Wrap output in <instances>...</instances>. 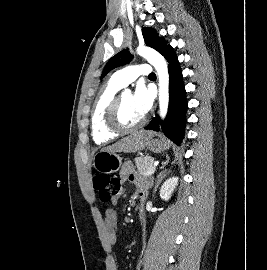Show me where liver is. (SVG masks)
Wrapping results in <instances>:
<instances>
[{"label":"liver","instance_id":"obj_1","mask_svg":"<svg viewBox=\"0 0 267 270\" xmlns=\"http://www.w3.org/2000/svg\"><path fill=\"white\" fill-rule=\"evenodd\" d=\"M153 133L149 131H138L133 132L130 135L120 139L112 145H109L102 150L109 152H127L135 153L141 151L147 145L148 138L152 136Z\"/></svg>","mask_w":267,"mask_h":270}]
</instances>
